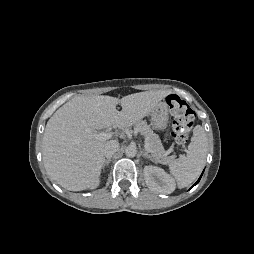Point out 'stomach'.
Returning <instances> with one entry per match:
<instances>
[{"mask_svg":"<svg viewBox=\"0 0 254 254\" xmlns=\"http://www.w3.org/2000/svg\"><path fill=\"white\" fill-rule=\"evenodd\" d=\"M151 119L155 129L164 130L167 127L169 114L166 102H159L151 111Z\"/></svg>","mask_w":254,"mask_h":254,"instance_id":"stomach-1","label":"stomach"}]
</instances>
